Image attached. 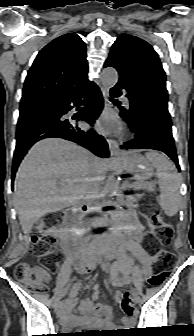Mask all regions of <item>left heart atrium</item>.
<instances>
[{
  "mask_svg": "<svg viewBox=\"0 0 194 336\" xmlns=\"http://www.w3.org/2000/svg\"><path fill=\"white\" fill-rule=\"evenodd\" d=\"M119 127L117 118L111 114H105L97 122V128L102 132H114Z\"/></svg>",
  "mask_w": 194,
  "mask_h": 336,
  "instance_id": "obj_1",
  "label": "left heart atrium"
}]
</instances>
